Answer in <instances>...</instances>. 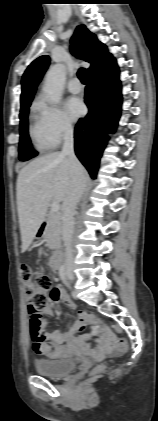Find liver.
Segmentation results:
<instances>
[{"mask_svg": "<svg viewBox=\"0 0 158 421\" xmlns=\"http://www.w3.org/2000/svg\"><path fill=\"white\" fill-rule=\"evenodd\" d=\"M70 183L68 157L59 152L36 158L20 170L16 195L23 251L36 236L49 203L64 201Z\"/></svg>", "mask_w": 158, "mask_h": 421, "instance_id": "liver-1", "label": "liver"}]
</instances>
